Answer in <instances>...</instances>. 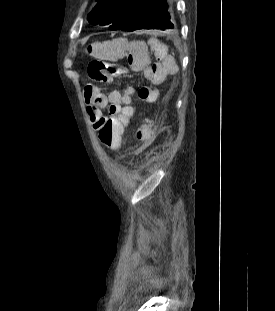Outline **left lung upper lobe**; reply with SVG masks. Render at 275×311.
Returning a JSON list of instances; mask_svg holds the SVG:
<instances>
[{"instance_id":"obj_1","label":"left lung upper lobe","mask_w":275,"mask_h":311,"mask_svg":"<svg viewBox=\"0 0 275 311\" xmlns=\"http://www.w3.org/2000/svg\"><path fill=\"white\" fill-rule=\"evenodd\" d=\"M88 19L91 24L109 25L113 31L121 30L136 9L145 0H97Z\"/></svg>"}]
</instances>
